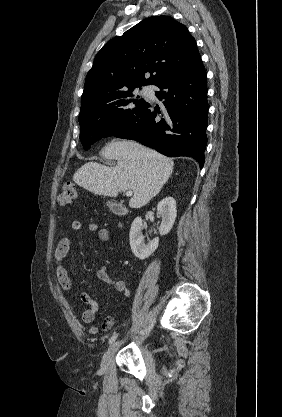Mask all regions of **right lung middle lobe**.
Returning <instances> with one entry per match:
<instances>
[{"label":"right lung middle lobe","instance_id":"dd1d6c3e","mask_svg":"<svg viewBox=\"0 0 282 417\" xmlns=\"http://www.w3.org/2000/svg\"><path fill=\"white\" fill-rule=\"evenodd\" d=\"M134 89L102 93L81 101L80 140L84 150L128 128L149 105Z\"/></svg>","mask_w":282,"mask_h":417}]
</instances>
